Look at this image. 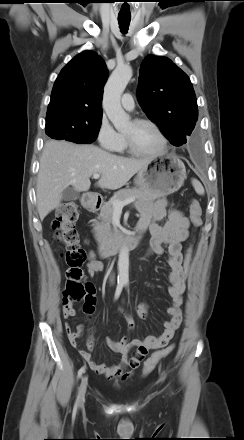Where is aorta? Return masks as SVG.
Masks as SVG:
<instances>
[{
	"instance_id": "aorta-1",
	"label": "aorta",
	"mask_w": 244,
	"mask_h": 440,
	"mask_svg": "<svg viewBox=\"0 0 244 440\" xmlns=\"http://www.w3.org/2000/svg\"><path fill=\"white\" fill-rule=\"evenodd\" d=\"M132 77V68L129 65L117 66L109 77L104 88L103 108L113 123L120 131L129 124V116L121 106V95ZM129 279V250L122 247L118 257V280L127 282Z\"/></svg>"
}]
</instances>
